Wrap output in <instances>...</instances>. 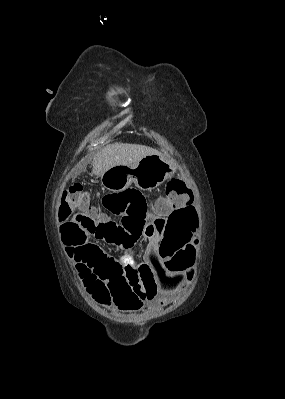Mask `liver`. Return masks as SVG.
<instances>
[{"label": "liver", "mask_w": 285, "mask_h": 399, "mask_svg": "<svg viewBox=\"0 0 285 399\" xmlns=\"http://www.w3.org/2000/svg\"><path fill=\"white\" fill-rule=\"evenodd\" d=\"M151 154H160L157 150L137 144L114 143L107 145L93 158L92 172L101 176L108 169L118 165H136Z\"/></svg>", "instance_id": "1"}]
</instances>
